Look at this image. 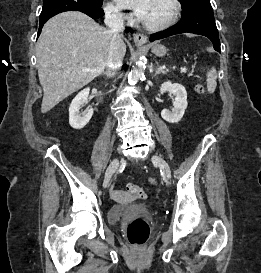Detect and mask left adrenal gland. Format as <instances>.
I'll return each mask as SVG.
<instances>
[{
  "label": "left adrenal gland",
  "instance_id": "left-adrenal-gland-1",
  "mask_svg": "<svg viewBox=\"0 0 261 273\" xmlns=\"http://www.w3.org/2000/svg\"><path fill=\"white\" fill-rule=\"evenodd\" d=\"M157 66H158V69H157V71L155 72V75H157V74H159V73H165V71L162 69L161 66H159V64H157Z\"/></svg>",
  "mask_w": 261,
  "mask_h": 273
}]
</instances>
